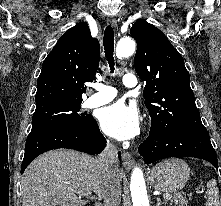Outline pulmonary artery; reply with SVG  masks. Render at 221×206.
<instances>
[{
  "label": "pulmonary artery",
  "mask_w": 221,
  "mask_h": 206,
  "mask_svg": "<svg viewBox=\"0 0 221 206\" xmlns=\"http://www.w3.org/2000/svg\"><path fill=\"white\" fill-rule=\"evenodd\" d=\"M122 82L126 87L129 88L137 86V78L134 74H125ZM94 88L97 90V93L88 99L87 104L89 107L104 105L113 100L117 94L115 88L108 85L98 83L94 85Z\"/></svg>",
  "instance_id": "pulmonary-artery-1"
}]
</instances>
